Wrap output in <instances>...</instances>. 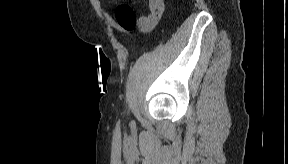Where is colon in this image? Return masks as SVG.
Instances as JSON below:
<instances>
[{"instance_id": "5ec220e1", "label": "colon", "mask_w": 288, "mask_h": 164, "mask_svg": "<svg viewBox=\"0 0 288 164\" xmlns=\"http://www.w3.org/2000/svg\"><path fill=\"white\" fill-rule=\"evenodd\" d=\"M151 16L154 18L160 17L161 10L155 6L150 8ZM116 20L127 31H133L137 27V16L132 8L122 5L116 10ZM143 28L149 29V25H144Z\"/></svg>"}]
</instances>
